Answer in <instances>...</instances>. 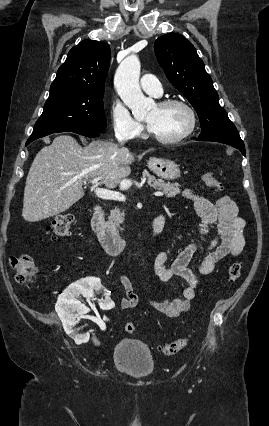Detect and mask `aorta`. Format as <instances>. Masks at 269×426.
Wrapping results in <instances>:
<instances>
[{
	"instance_id": "762f6f07",
	"label": "aorta",
	"mask_w": 269,
	"mask_h": 426,
	"mask_svg": "<svg viewBox=\"0 0 269 426\" xmlns=\"http://www.w3.org/2000/svg\"><path fill=\"white\" fill-rule=\"evenodd\" d=\"M140 62L131 55L119 65L114 84L123 102L131 109L136 119L143 118L153 105V100L146 98L139 85Z\"/></svg>"
}]
</instances>
